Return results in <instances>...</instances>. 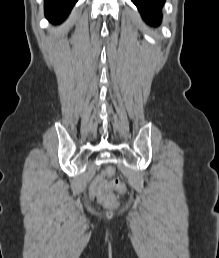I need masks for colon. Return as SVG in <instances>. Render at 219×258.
<instances>
[{
    "label": "colon",
    "instance_id": "obj_1",
    "mask_svg": "<svg viewBox=\"0 0 219 258\" xmlns=\"http://www.w3.org/2000/svg\"><path fill=\"white\" fill-rule=\"evenodd\" d=\"M115 173L114 167H107L90 185L91 197H96L100 203L109 207L116 204L114 191L120 193H126L127 191L126 185L115 178Z\"/></svg>",
    "mask_w": 219,
    "mask_h": 258
}]
</instances>
